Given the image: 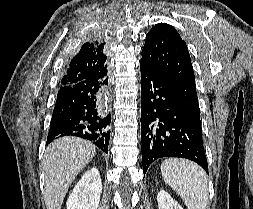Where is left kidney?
Segmentation results:
<instances>
[{"label":"left kidney","mask_w":253,"mask_h":209,"mask_svg":"<svg viewBox=\"0 0 253 209\" xmlns=\"http://www.w3.org/2000/svg\"><path fill=\"white\" fill-rule=\"evenodd\" d=\"M159 209H183L182 206L164 190H160L157 195Z\"/></svg>","instance_id":"left-kidney-1"}]
</instances>
